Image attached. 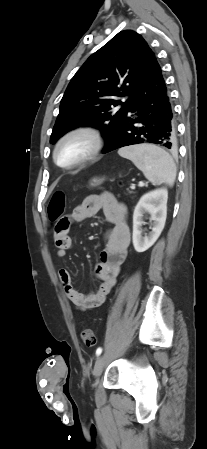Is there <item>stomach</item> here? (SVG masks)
I'll return each instance as SVG.
<instances>
[{
	"mask_svg": "<svg viewBox=\"0 0 207 449\" xmlns=\"http://www.w3.org/2000/svg\"><path fill=\"white\" fill-rule=\"evenodd\" d=\"M103 182H104V178H93L90 181V185L91 186H98V185L102 184Z\"/></svg>",
	"mask_w": 207,
	"mask_h": 449,
	"instance_id": "obj_1",
	"label": "stomach"
}]
</instances>
